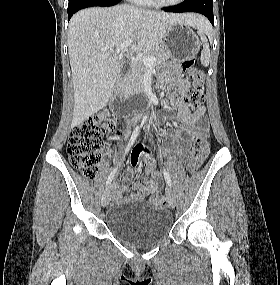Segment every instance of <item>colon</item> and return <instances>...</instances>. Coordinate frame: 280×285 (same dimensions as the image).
<instances>
[{"instance_id":"obj_1","label":"colon","mask_w":280,"mask_h":285,"mask_svg":"<svg viewBox=\"0 0 280 285\" xmlns=\"http://www.w3.org/2000/svg\"><path fill=\"white\" fill-rule=\"evenodd\" d=\"M196 59L190 58L183 64L188 73L191 86L188 88L185 100L191 108H198L204 100L205 74L196 67ZM120 133L118 122L113 116H96L75 125L68 142V156L71 165L79 170L83 176L94 178L98 171V163L106 151L107 134ZM142 149H134L131 160L137 161ZM209 153L207 136L197 134L191 141L190 159L188 168L191 172L198 170ZM150 201L164 203L165 195L162 193L152 195Z\"/></svg>"}]
</instances>
